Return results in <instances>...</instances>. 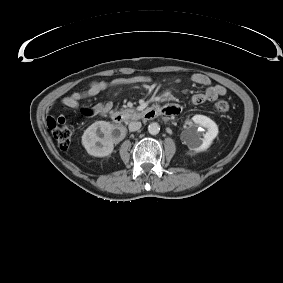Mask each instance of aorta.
I'll use <instances>...</instances> for the list:
<instances>
[{
    "label": "aorta",
    "mask_w": 283,
    "mask_h": 283,
    "mask_svg": "<svg viewBox=\"0 0 283 283\" xmlns=\"http://www.w3.org/2000/svg\"><path fill=\"white\" fill-rule=\"evenodd\" d=\"M148 131L151 135H157L160 131V126L157 122H152L148 126Z\"/></svg>",
    "instance_id": "1"
}]
</instances>
